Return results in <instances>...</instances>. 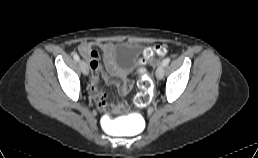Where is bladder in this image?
I'll use <instances>...</instances> for the list:
<instances>
[{
  "instance_id": "1",
  "label": "bladder",
  "mask_w": 258,
  "mask_h": 158,
  "mask_svg": "<svg viewBox=\"0 0 258 158\" xmlns=\"http://www.w3.org/2000/svg\"><path fill=\"white\" fill-rule=\"evenodd\" d=\"M142 52L143 47L139 43L120 42L114 46L113 58L127 70H134Z\"/></svg>"
}]
</instances>
